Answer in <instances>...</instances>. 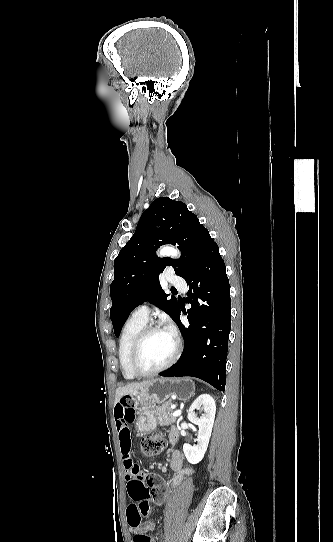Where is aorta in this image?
<instances>
[{"instance_id":"1","label":"aorta","mask_w":333,"mask_h":542,"mask_svg":"<svg viewBox=\"0 0 333 542\" xmlns=\"http://www.w3.org/2000/svg\"><path fill=\"white\" fill-rule=\"evenodd\" d=\"M160 254L161 256H177V250H174V248H163Z\"/></svg>"}]
</instances>
